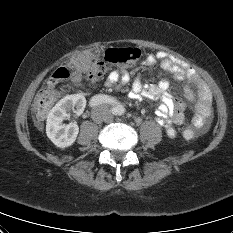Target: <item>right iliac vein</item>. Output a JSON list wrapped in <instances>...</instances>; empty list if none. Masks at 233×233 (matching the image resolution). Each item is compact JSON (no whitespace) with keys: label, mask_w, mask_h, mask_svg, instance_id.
<instances>
[{"label":"right iliac vein","mask_w":233,"mask_h":233,"mask_svg":"<svg viewBox=\"0 0 233 233\" xmlns=\"http://www.w3.org/2000/svg\"><path fill=\"white\" fill-rule=\"evenodd\" d=\"M94 116H95V118H96V119H99V118L101 117V116H100V113H98V112H97V113H95V115H94Z\"/></svg>","instance_id":"right-iliac-vein-1"}]
</instances>
